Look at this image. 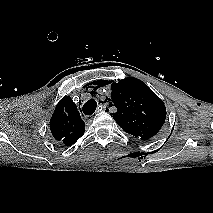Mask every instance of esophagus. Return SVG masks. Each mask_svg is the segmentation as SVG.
<instances>
[{"instance_id":"obj_1","label":"esophagus","mask_w":213,"mask_h":213,"mask_svg":"<svg viewBox=\"0 0 213 213\" xmlns=\"http://www.w3.org/2000/svg\"><path fill=\"white\" fill-rule=\"evenodd\" d=\"M107 105L106 104H102V108H103V110H106L107 109Z\"/></svg>"}]
</instances>
